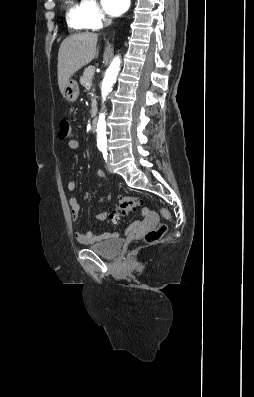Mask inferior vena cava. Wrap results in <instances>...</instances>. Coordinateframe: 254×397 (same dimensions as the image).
<instances>
[{"instance_id": "obj_1", "label": "inferior vena cava", "mask_w": 254, "mask_h": 397, "mask_svg": "<svg viewBox=\"0 0 254 397\" xmlns=\"http://www.w3.org/2000/svg\"><path fill=\"white\" fill-rule=\"evenodd\" d=\"M111 23V20L110 19H107L106 21H105V25L107 26V25H109Z\"/></svg>"}]
</instances>
